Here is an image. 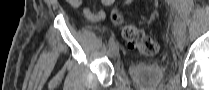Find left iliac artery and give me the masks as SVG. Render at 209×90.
Listing matches in <instances>:
<instances>
[{
  "label": "left iliac artery",
  "instance_id": "44dca946",
  "mask_svg": "<svg viewBox=\"0 0 209 90\" xmlns=\"http://www.w3.org/2000/svg\"><path fill=\"white\" fill-rule=\"evenodd\" d=\"M169 3L172 5L173 14H175V17H180V5L178 0H168Z\"/></svg>",
  "mask_w": 209,
  "mask_h": 90
}]
</instances>
